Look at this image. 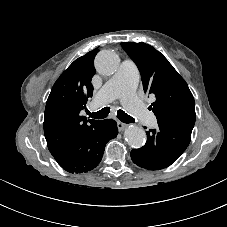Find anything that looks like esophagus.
I'll return each mask as SVG.
<instances>
[{
  "instance_id": "esophagus-1",
  "label": "esophagus",
  "mask_w": 227,
  "mask_h": 227,
  "mask_svg": "<svg viewBox=\"0 0 227 227\" xmlns=\"http://www.w3.org/2000/svg\"><path fill=\"white\" fill-rule=\"evenodd\" d=\"M117 127H118L119 131H123L127 127V124H125L121 121H117Z\"/></svg>"
}]
</instances>
